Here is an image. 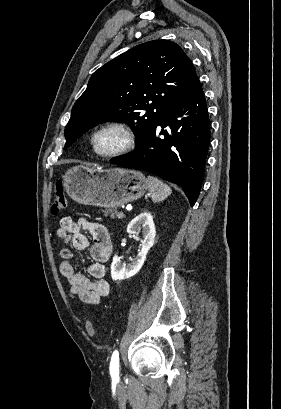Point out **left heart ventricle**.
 I'll return each instance as SVG.
<instances>
[{"instance_id": "left-heart-ventricle-1", "label": "left heart ventricle", "mask_w": 281, "mask_h": 409, "mask_svg": "<svg viewBox=\"0 0 281 409\" xmlns=\"http://www.w3.org/2000/svg\"><path fill=\"white\" fill-rule=\"evenodd\" d=\"M116 144V138L113 135H103L98 140V149L100 151H107L114 147Z\"/></svg>"}]
</instances>
